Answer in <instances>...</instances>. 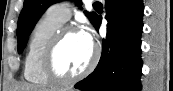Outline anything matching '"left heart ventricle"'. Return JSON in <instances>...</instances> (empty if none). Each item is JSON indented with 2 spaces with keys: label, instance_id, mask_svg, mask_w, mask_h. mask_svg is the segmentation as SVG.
Returning <instances> with one entry per match:
<instances>
[{
  "label": "left heart ventricle",
  "instance_id": "left-heart-ventricle-1",
  "mask_svg": "<svg viewBox=\"0 0 173 91\" xmlns=\"http://www.w3.org/2000/svg\"><path fill=\"white\" fill-rule=\"evenodd\" d=\"M92 45L89 44L81 33L67 35L59 45L54 66L62 75H75L81 72L90 62Z\"/></svg>",
  "mask_w": 173,
  "mask_h": 91
}]
</instances>
